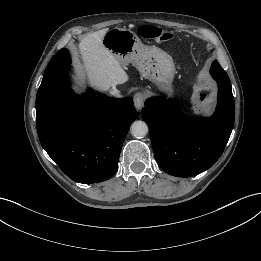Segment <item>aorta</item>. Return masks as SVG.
Here are the masks:
<instances>
[{
    "label": "aorta",
    "mask_w": 261,
    "mask_h": 261,
    "mask_svg": "<svg viewBox=\"0 0 261 261\" xmlns=\"http://www.w3.org/2000/svg\"><path fill=\"white\" fill-rule=\"evenodd\" d=\"M148 133V126L144 121H135L131 125V134L135 138H143Z\"/></svg>",
    "instance_id": "aorta-1"
}]
</instances>
